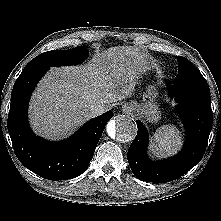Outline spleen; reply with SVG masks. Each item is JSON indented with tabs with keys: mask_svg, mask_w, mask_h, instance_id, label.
Masks as SVG:
<instances>
[{
	"mask_svg": "<svg viewBox=\"0 0 221 221\" xmlns=\"http://www.w3.org/2000/svg\"><path fill=\"white\" fill-rule=\"evenodd\" d=\"M182 138L175 125H163L152 137L150 150L158 157H166L177 152Z\"/></svg>",
	"mask_w": 221,
	"mask_h": 221,
	"instance_id": "3e777b00",
	"label": "spleen"
}]
</instances>
